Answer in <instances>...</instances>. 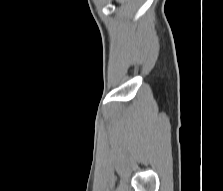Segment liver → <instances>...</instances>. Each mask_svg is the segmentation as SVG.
Listing matches in <instances>:
<instances>
[{
	"instance_id": "liver-1",
	"label": "liver",
	"mask_w": 223,
	"mask_h": 191,
	"mask_svg": "<svg viewBox=\"0 0 223 191\" xmlns=\"http://www.w3.org/2000/svg\"><path fill=\"white\" fill-rule=\"evenodd\" d=\"M119 3H124V0H118Z\"/></svg>"
}]
</instances>
